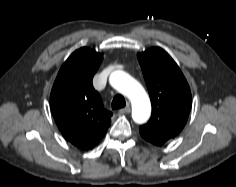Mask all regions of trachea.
Returning <instances> with one entry per match:
<instances>
[{
  "instance_id": "3493384b",
  "label": "trachea",
  "mask_w": 236,
  "mask_h": 187,
  "mask_svg": "<svg viewBox=\"0 0 236 187\" xmlns=\"http://www.w3.org/2000/svg\"><path fill=\"white\" fill-rule=\"evenodd\" d=\"M126 105V102H125V99L122 95H116L114 98H113V101H112V109H120V108H123L125 107Z\"/></svg>"
}]
</instances>
